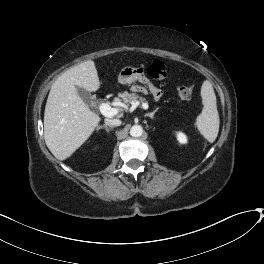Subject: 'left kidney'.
<instances>
[{
	"mask_svg": "<svg viewBox=\"0 0 264 264\" xmlns=\"http://www.w3.org/2000/svg\"><path fill=\"white\" fill-rule=\"evenodd\" d=\"M176 137H177V140L182 143V144H185L187 143V137L184 133L182 132H177L176 133Z\"/></svg>",
	"mask_w": 264,
	"mask_h": 264,
	"instance_id": "left-kidney-1",
	"label": "left kidney"
}]
</instances>
